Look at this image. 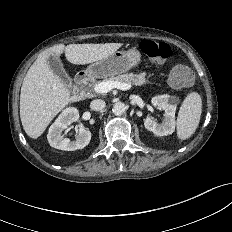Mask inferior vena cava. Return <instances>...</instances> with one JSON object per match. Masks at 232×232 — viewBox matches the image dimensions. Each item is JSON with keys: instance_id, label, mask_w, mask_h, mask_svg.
<instances>
[{"instance_id": "602c4592", "label": "inferior vena cava", "mask_w": 232, "mask_h": 232, "mask_svg": "<svg viewBox=\"0 0 232 232\" xmlns=\"http://www.w3.org/2000/svg\"><path fill=\"white\" fill-rule=\"evenodd\" d=\"M106 103L102 99H95L90 103V108L94 111H101L105 108Z\"/></svg>"}]
</instances>
